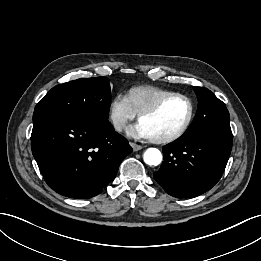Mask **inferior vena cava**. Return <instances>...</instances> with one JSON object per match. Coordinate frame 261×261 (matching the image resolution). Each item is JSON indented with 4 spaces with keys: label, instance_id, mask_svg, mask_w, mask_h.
Masks as SVG:
<instances>
[{
    "label": "inferior vena cava",
    "instance_id": "obj_1",
    "mask_svg": "<svg viewBox=\"0 0 261 261\" xmlns=\"http://www.w3.org/2000/svg\"><path fill=\"white\" fill-rule=\"evenodd\" d=\"M115 128H116L117 130H121L122 124H121V123L115 124Z\"/></svg>",
    "mask_w": 261,
    "mask_h": 261
}]
</instances>
